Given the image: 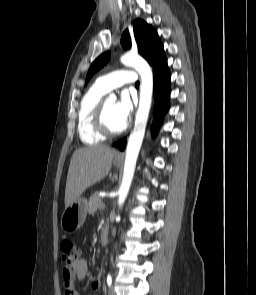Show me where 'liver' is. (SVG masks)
Returning <instances> with one entry per match:
<instances>
[{
    "mask_svg": "<svg viewBox=\"0 0 256 295\" xmlns=\"http://www.w3.org/2000/svg\"><path fill=\"white\" fill-rule=\"evenodd\" d=\"M116 153L105 145L88 146L73 153L66 181L65 208L108 175Z\"/></svg>",
    "mask_w": 256,
    "mask_h": 295,
    "instance_id": "liver-1",
    "label": "liver"
}]
</instances>
